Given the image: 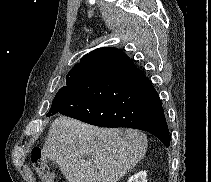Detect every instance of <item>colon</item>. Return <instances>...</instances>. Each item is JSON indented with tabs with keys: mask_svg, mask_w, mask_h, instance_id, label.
<instances>
[{
	"mask_svg": "<svg viewBox=\"0 0 211 182\" xmlns=\"http://www.w3.org/2000/svg\"><path fill=\"white\" fill-rule=\"evenodd\" d=\"M31 161L43 182H55L54 173L49 169L43 158V151L35 147L31 151Z\"/></svg>",
	"mask_w": 211,
	"mask_h": 182,
	"instance_id": "5ec220e1",
	"label": "colon"
}]
</instances>
